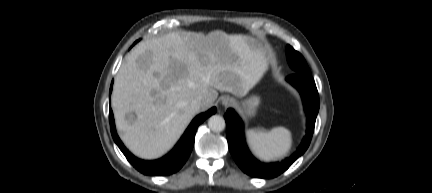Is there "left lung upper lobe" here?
<instances>
[{"instance_id": "left-lung-upper-lobe-1", "label": "left lung upper lobe", "mask_w": 432, "mask_h": 193, "mask_svg": "<svg viewBox=\"0 0 432 193\" xmlns=\"http://www.w3.org/2000/svg\"><path fill=\"white\" fill-rule=\"evenodd\" d=\"M286 54H287V61L289 63V66L296 73L311 74L303 56L299 52L294 50L290 45H287L286 47Z\"/></svg>"}]
</instances>
